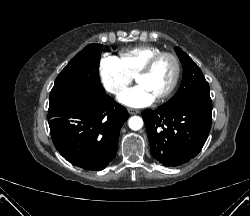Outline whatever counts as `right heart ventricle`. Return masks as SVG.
<instances>
[{
    "instance_id": "right-heart-ventricle-1",
    "label": "right heart ventricle",
    "mask_w": 250,
    "mask_h": 216,
    "mask_svg": "<svg viewBox=\"0 0 250 216\" xmlns=\"http://www.w3.org/2000/svg\"><path fill=\"white\" fill-rule=\"evenodd\" d=\"M160 52L161 49L158 47L144 45L123 50L120 53L119 60L124 68L134 77L153 56Z\"/></svg>"
}]
</instances>
